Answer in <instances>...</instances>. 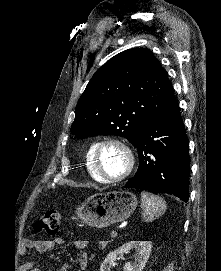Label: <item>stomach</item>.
Segmentation results:
<instances>
[{"mask_svg":"<svg viewBox=\"0 0 221 271\" xmlns=\"http://www.w3.org/2000/svg\"><path fill=\"white\" fill-rule=\"evenodd\" d=\"M137 203V197L131 191H108L88 197L81 208H76V213L91 227H108L130 217Z\"/></svg>","mask_w":221,"mask_h":271,"instance_id":"stomach-1","label":"stomach"}]
</instances>
